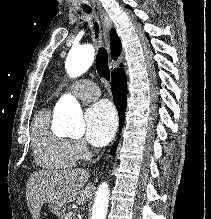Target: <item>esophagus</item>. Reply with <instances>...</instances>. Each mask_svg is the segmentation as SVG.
Segmentation results:
<instances>
[{
    "label": "esophagus",
    "instance_id": "34e87169",
    "mask_svg": "<svg viewBox=\"0 0 211 219\" xmlns=\"http://www.w3.org/2000/svg\"><path fill=\"white\" fill-rule=\"evenodd\" d=\"M98 12L100 14L101 22H102V27H103V36L105 40V45L107 47V50H110V44H109V33L112 28V21L109 18L108 14L101 9L100 7H97Z\"/></svg>",
    "mask_w": 211,
    "mask_h": 219
}]
</instances>
